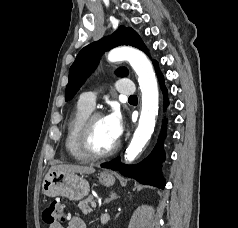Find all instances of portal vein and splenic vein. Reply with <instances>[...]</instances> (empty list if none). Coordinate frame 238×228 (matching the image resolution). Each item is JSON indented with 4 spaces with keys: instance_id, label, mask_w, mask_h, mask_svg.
Masks as SVG:
<instances>
[{
    "instance_id": "portal-vein-and-splenic-vein-1",
    "label": "portal vein and splenic vein",
    "mask_w": 238,
    "mask_h": 228,
    "mask_svg": "<svg viewBox=\"0 0 238 228\" xmlns=\"http://www.w3.org/2000/svg\"><path fill=\"white\" fill-rule=\"evenodd\" d=\"M96 206H97V205H96V202H95V201L91 202V207H92V208H94V209H95V208H96Z\"/></svg>"
}]
</instances>
